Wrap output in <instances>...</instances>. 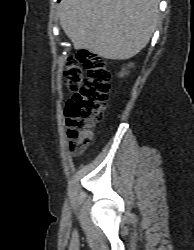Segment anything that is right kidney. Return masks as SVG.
<instances>
[{
	"label": "right kidney",
	"instance_id": "right-kidney-1",
	"mask_svg": "<svg viewBox=\"0 0 194 250\" xmlns=\"http://www.w3.org/2000/svg\"><path fill=\"white\" fill-rule=\"evenodd\" d=\"M128 66H129V67H132L133 64L131 63V64H129ZM127 74H128V73L126 72L125 68H123L122 71H121L120 74H119V77H123L124 75H127Z\"/></svg>",
	"mask_w": 194,
	"mask_h": 250
}]
</instances>
